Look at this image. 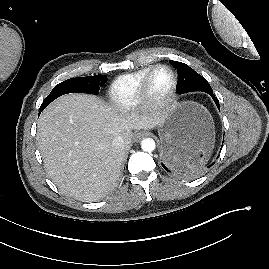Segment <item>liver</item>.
<instances>
[{
    "instance_id": "liver-1",
    "label": "liver",
    "mask_w": 269,
    "mask_h": 269,
    "mask_svg": "<svg viewBox=\"0 0 269 269\" xmlns=\"http://www.w3.org/2000/svg\"><path fill=\"white\" fill-rule=\"evenodd\" d=\"M154 111L139 115L86 94H67L53 101L38 119L37 141L45 169L65 194L92 202L117 185L132 130L153 129L164 119ZM124 139L115 148V137Z\"/></svg>"
}]
</instances>
